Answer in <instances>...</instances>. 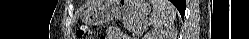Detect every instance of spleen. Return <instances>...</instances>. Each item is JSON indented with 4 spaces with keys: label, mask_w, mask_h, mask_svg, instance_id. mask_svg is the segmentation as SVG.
<instances>
[{
    "label": "spleen",
    "mask_w": 249,
    "mask_h": 39,
    "mask_svg": "<svg viewBox=\"0 0 249 39\" xmlns=\"http://www.w3.org/2000/svg\"><path fill=\"white\" fill-rule=\"evenodd\" d=\"M150 2L154 8L150 23L155 31L162 32L174 22L177 10L168 0H151Z\"/></svg>",
    "instance_id": "1"
}]
</instances>
